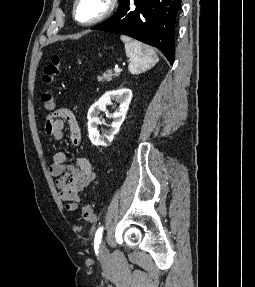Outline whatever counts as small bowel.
Returning <instances> with one entry per match:
<instances>
[{"label": "small bowel", "mask_w": 255, "mask_h": 287, "mask_svg": "<svg viewBox=\"0 0 255 287\" xmlns=\"http://www.w3.org/2000/svg\"><path fill=\"white\" fill-rule=\"evenodd\" d=\"M65 123L70 128V140L79 145L81 132L75 115L68 107H62L49 114L45 121V132L56 140L64 137ZM49 167L50 174L56 178L55 187L68 211H75L81 201L80 194L95 180L91 162L85 157H78L72 163L67 162L65 152L54 153Z\"/></svg>", "instance_id": "1"}]
</instances>
